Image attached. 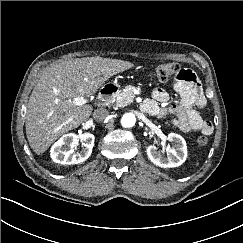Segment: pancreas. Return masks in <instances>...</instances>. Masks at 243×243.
Wrapping results in <instances>:
<instances>
[{
  "label": "pancreas",
  "mask_w": 243,
  "mask_h": 243,
  "mask_svg": "<svg viewBox=\"0 0 243 243\" xmlns=\"http://www.w3.org/2000/svg\"><path fill=\"white\" fill-rule=\"evenodd\" d=\"M134 87L126 86L122 91L118 92L111 98V102H115L117 107H124L133 102L135 97L133 93Z\"/></svg>",
  "instance_id": "cf45deb5"
}]
</instances>
